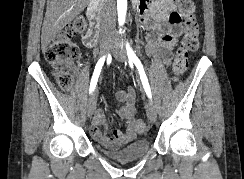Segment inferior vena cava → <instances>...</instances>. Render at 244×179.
<instances>
[{"mask_svg":"<svg viewBox=\"0 0 244 179\" xmlns=\"http://www.w3.org/2000/svg\"><path fill=\"white\" fill-rule=\"evenodd\" d=\"M108 18H107V22L106 24H102L101 26V30L102 32H115V16H116V12L113 8V10H111V12H106ZM111 16H113V20H111Z\"/></svg>","mask_w":244,"mask_h":179,"instance_id":"602c4592","label":"inferior vena cava"}]
</instances>
